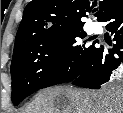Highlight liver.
Segmentation results:
<instances>
[{"label":"liver","mask_w":123,"mask_h":113,"mask_svg":"<svg viewBox=\"0 0 123 113\" xmlns=\"http://www.w3.org/2000/svg\"><path fill=\"white\" fill-rule=\"evenodd\" d=\"M21 113H123V91L51 87L40 91Z\"/></svg>","instance_id":"1"}]
</instances>
